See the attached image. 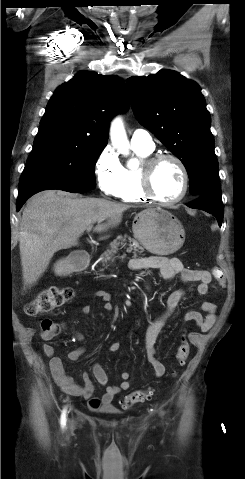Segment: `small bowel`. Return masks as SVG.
<instances>
[{
  "instance_id": "1",
  "label": "small bowel",
  "mask_w": 245,
  "mask_h": 479,
  "mask_svg": "<svg viewBox=\"0 0 245 479\" xmlns=\"http://www.w3.org/2000/svg\"><path fill=\"white\" fill-rule=\"evenodd\" d=\"M129 268L132 271H139L145 269H154L160 272L164 280H171L176 275H180L182 280L186 283L196 282L195 291L199 295H205L208 291V285L211 282V274L207 270L187 269L184 268L182 262L178 258L166 257H148V258H133L129 261ZM185 290H175L167 298L165 310L159 314L149 325L145 336V352L148 363L154 371L157 378L165 374L166 368L164 364L156 357V343L157 338L168 321V319L175 312L179 302L185 297ZM95 296L103 302L105 311H111L113 308L111 302V295L106 291H96ZM91 311L89 305L81 308V313L87 314ZM202 313H205L203 315ZM217 319L216 306L208 300H203L200 303L198 310L187 312L183 321L194 322L201 332H208L215 324ZM61 329L64 326L61 325ZM75 338L83 340V335L75 334ZM111 352H117L120 349L118 342H112L108 346ZM43 354L49 358V366L51 373L61 390L70 396L82 397L87 400V406L91 411H105L112 407L114 398L121 392L126 391L131 387L129 382L130 374L127 371H122L120 377L122 382L119 386L108 385V376L104 368L95 363L92 366V375L94 379L102 386H105V392L102 396L94 395V384L90 375L86 372L82 375L83 383H76L70 377L64 368L63 361L60 357L55 355L54 348L51 344H43ZM85 352L83 347L72 349L68 353V359L71 361L78 360Z\"/></svg>"
}]
</instances>
